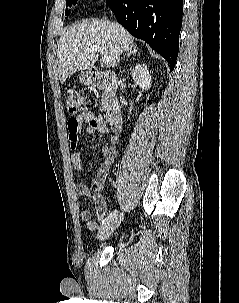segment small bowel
I'll use <instances>...</instances> for the list:
<instances>
[{
    "label": "small bowel",
    "mask_w": 239,
    "mask_h": 303,
    "mask_svg": "<svg viewBox=\"0 0 239 303\" xmlns=\"http://www.w3.org/2000/svg\"><path fill=\"white\" fill-rule=\"evenodd\" d=\"M76 125V130H72L71 125ZM86 124L85 131L87 134L99 133L109 138L110 144L101 147V153L104 156V162L100 165L92 184L79 183L76 186V194L78 197L91 196L94 201L95 211L99 221L104 220V216L108 212L107 204L102 196V190L106 184L107 176L109 174L111 165L117 157L116 143L118 137L111 134L104 122V120L93 112H84L77 117L70 118L67 122L69 131V141L72 147H76L79 143V138L82 132L83 125ZM71 162L77 171L84 170L83 156L80 152L75 151L71 155ZM80 219L86 223L90 231H95L98 224L92 220V213L90 210L84 209L80 212Z\"/></svg>",
    "instance_id": "c3829d8e"
}]
</instances>
